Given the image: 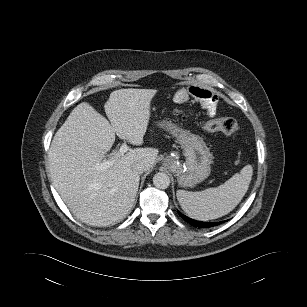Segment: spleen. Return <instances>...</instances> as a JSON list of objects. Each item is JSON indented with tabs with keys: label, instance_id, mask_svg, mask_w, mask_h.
Listing matches in <instances>:
<instances>
[{
	"label": "spleen",
	"instance_id": "obj_1",
	"mask_svg": "<svg viewBox=\"0 0 307 307\" xmlns=\"http://www.w3.org/2000/svg\"><path fill=\"white\" fill-rule=\"evenodd\" d=\"M253 168L246 165L224 184L200 192L177 191V199L188 216L202 221L217 219L231 212L248 190Z\"/></svg>",
	"mask_w": 307,
	"mask_h": 307
}]
</instances>
